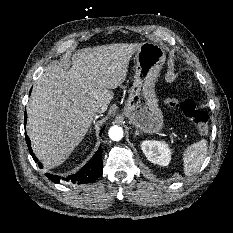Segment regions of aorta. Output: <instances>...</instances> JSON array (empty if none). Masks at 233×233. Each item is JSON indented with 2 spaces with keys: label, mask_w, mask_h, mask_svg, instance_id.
Listing matches in <instances>:
<instances>
[{
  "label": "aorta",
  "mask_w": 233,
  "mask_h": 233,
  "mask_svg": "<svg viewBox=\"0 0 233 233\" xmlns=\"http://www.w3.org/2000/svg\"><path fill=\"white\" fill-rule=\"evenodd\" d=\"M109 137L114 141H119L123 138V129L119 126H112L109 129Z\"/></svg>",
  "instance_id": "obj_1"
}]
</instances>
